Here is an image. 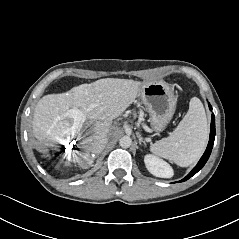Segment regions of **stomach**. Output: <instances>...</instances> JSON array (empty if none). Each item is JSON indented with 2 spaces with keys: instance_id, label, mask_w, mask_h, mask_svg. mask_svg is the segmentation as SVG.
Segmentation results:
<instances>
[{
  "instance_id": "0dacf381",
  "label": "stomach",
  "mask_w": 239,
  "mask_h": 239,
  "mask_svg": "<svg viewBox=\"0 0 239 239\" xmlns=\"http://www.w3.org/2000/svg\"><path fill=\"white\" fill-rule=\"evenodd\" d=\"M139 94L150 115L152 128L163 131L171 121L176 109V97L172 88L164 81L143 83Z\"/></svg>"
}]
</instances>
